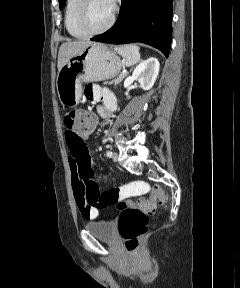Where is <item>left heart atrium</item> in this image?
Instances as JSON below:
<instances>
[{
	"label": "left heart atrium",
	"instance_id": "obj_1",
	"mask_svg": "<svg viewBox=\"0 0 240 288\" xmlns=\"http://www.w3.org/2000/svg\"><path fill=\"white\" fill-rule=\"evenodd\" d=\"M106 1L108 2V4H109L110 6L113 7V2H114V0H106Z\"/></svg>",
	"mask_w": 240,
	"mask_h": 288
}]
</instances>
